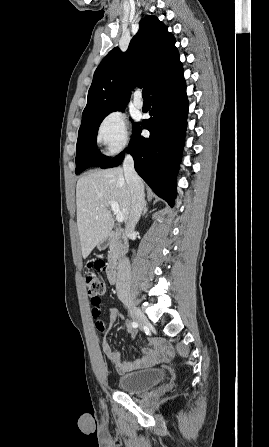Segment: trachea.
Segmentation results:
<instances>
[{"instance_id":"3493384b","label":"trachea","mask_w":269,"mask_h":447,"mask_svg":"<svg viewBox=\"0 0 269 447\" xmlns=\"http://www.w3.org/2000/svg\"><path fill=\"white\" fill-rule=\"evenodd\" d=\"M142 97L144 100H150V91L148 88H144L142 91Z\"/></svg>"}]
</instances>
